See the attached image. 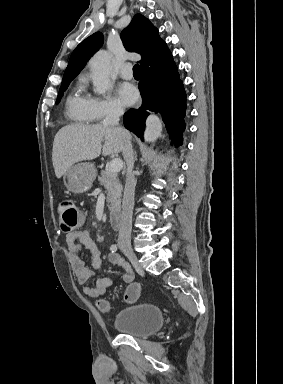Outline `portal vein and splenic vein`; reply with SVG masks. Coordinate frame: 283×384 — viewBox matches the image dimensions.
<instances>
[{"label": "portal vein and splenic vein", "instance_id": "18ae733b", "mask_svg": "<svg viewBox=\"0 0 283 384\" xmlns=\"http://www.w3.org/2000/svg\"><path fill=\"white\" fill-rule=\"evenodd\" d=\"M123 168V162L120 158H114L109 164L108 174H118Z\"/></svg>", "mask_w": 283, "mask_h": 384}]
</instances>
